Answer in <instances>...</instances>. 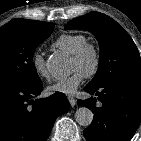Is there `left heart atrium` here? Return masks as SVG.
<instances>
[{
  "instance_id": "obj_1",
  "label": "left heart atrium",
  "mask_w": 141,
  "mask_h": 141,
  "mask_svg": "<svg viewBox=\"0 0 141 141\" xmlns=\"http://www.w3.org/2000/svg\"><path fill=\"white\" fill-rule=\"evenodd\" d=\"M84 79V74L76 70L69 77L56 81L49 87L50 93H60L72 95L81 85Z\"/></svg>"
}]
</instances>
